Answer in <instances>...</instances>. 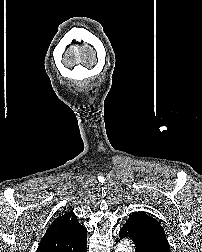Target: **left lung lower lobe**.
<instances>
[{
	"instance_id": "left-lung-lower-lobe-1",
	"label": "left lung lower lobe",
	"mask_w": 202,
	"mask_h": 252,
	"mask_svg": "<svg viewBox=\"0 0 202 252\" xmlns=\"http://www.w3.org/2000/svg\"><path fill=\"white\" fill-rule=\"evenodd\" d=\"M119 236L120 239H131L135 244V252H168L160 245L151 242L136 225L131 223H125Z\"/></svg>"
}]
</instances>
